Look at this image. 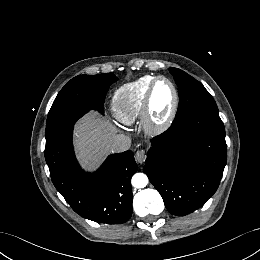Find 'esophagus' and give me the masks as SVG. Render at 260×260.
Here are the masks:
<instances>
[{"instance_id": "esophagus-1", "label": "esophagus", "mask_w": 260, "mask_h": 260, "mask_svg": "<svg viewBox=\"0 0 260 260\" xmlns=\"http://www.w3.org/2000/svg\"><path fill=\"white\" fill-rule=\"evenodd\" d=\"M146 159V154L144 150H138L135 153V161L139 164H143Z\"/></svg>"}]
</instances>
